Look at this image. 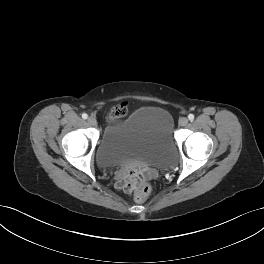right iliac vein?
<instances>
[{"label": "right iliac vein", "instance_id": "1", "mask_svg": "<svg viewBox=\"0 0 264 264\" xmlns=\"http://www.w3.org/2000/svg\"><path fill=\"white\" fill-rule=\"evenodd\" d=\"M88 123L91 125V126H96L97 125V120H96V118L95 117H89L88 118Z\"/></svg>", "mask_w": 264, "mask_h": 264}]
</instances>
